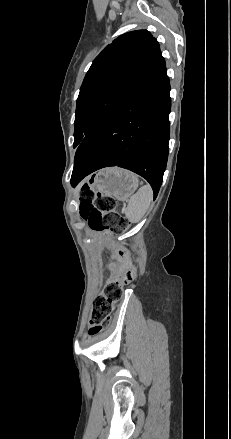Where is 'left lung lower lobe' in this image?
I'll return each mask as SVG.
<instances>
[{"label":"left lung lower lobe","instance_id":"left-lung-lower-lobe-1","mask_svg":"<svg viewBox=\"0 0 231 439\" xmlns=\"http://www.w3.org/2000/svg\"><path fill=\"white\" fill-rule=\"evenodd\" d=\"M170 83L165 61L133 87L78 145L71 177L77 184L108 166L144 177L157 196L170 136Z\"/></svg>","mask_w":231,"mask_h":439}]
</instances>
